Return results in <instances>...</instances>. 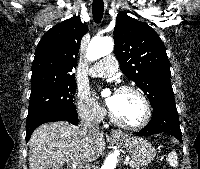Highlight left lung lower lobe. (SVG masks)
<instances>
[{
	"mask_svg": "<svg viewBox=\"0 0 200 169\" xmlns=\"http://www.w3.org/2000/svg\"><path fill=\"white\" fill-rule=\"evenodd\" d=\"M168 133L182 142L178 113L175 105L163 104L154 108L151 121L139 132V136H150L157 133Z\"/></svg>",
	"mask_w": 200,
	"mask_h": 169,
	"instance_id": "obj_1",
	"label": "left lung lower lobe"
}]
</instances>
